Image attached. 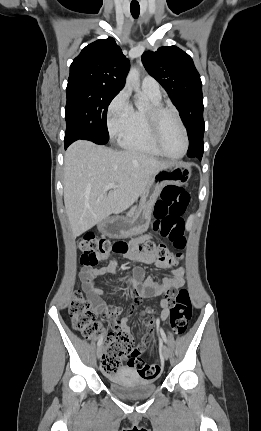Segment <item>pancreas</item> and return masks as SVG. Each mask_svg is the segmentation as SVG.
Here are the masks:
<instances>
[{"label":"pancreas","instance_id":"obj_1","mask_svg":"<svg viewBox=\"0 0 261 431\" xmlns=\"http://www.w3.org/2000/svg\"><path fill=\"white\" fill-rule=\"evenodd\" d=\"M137 212V207L136 206H134V207H132L131 209H130V211L127 213V215L129 216V217H132V216H134L135 215V213Z\"/></svg>","mask_w":261,"mask_h":431}]
</instances>
